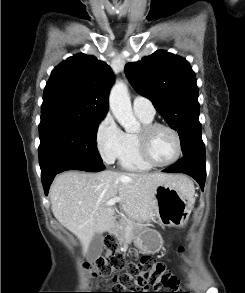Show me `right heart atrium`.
Listing matches in <instances>:
<instances>
[{"label":"right heart atrium","mask_w":245,"mask_h":293,"mask_svg":"<svg viewBox=\"0 0 245 293\" xmlns=\"http://www.w3.org/2000/svg\"><path fill=\"white\" fill-rule=\"evenodd\" d=\"M95 141L104 162L111 164L120 157L126 146V133L111 115H105L97 126Z\"/></svg>","instance_id":"obj_1"}]
</instances>
